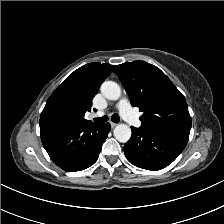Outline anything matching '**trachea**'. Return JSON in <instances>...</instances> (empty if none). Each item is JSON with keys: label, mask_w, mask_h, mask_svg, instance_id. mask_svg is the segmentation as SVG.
Returning <instances> with one entry per match:
<instances>
[{"label": "trachea", "mask_w": 224, "mask_h": 224, "mask_svg": "<svg viewBox=\"0 0 224 224\" xmlns=\"http://www.w3.org/2000/svg\"><path fill=\"white\" fill-rule=\"evenodd\" d=\"M111 119L115 123H118L120 121V118H119V116L117 114H113L111 116ZM106 121H108V117L107 116H103L101 118H94V122H97V123H104Z\"/></svg>", "instance_id": "trachea-1"}]
</instances>
